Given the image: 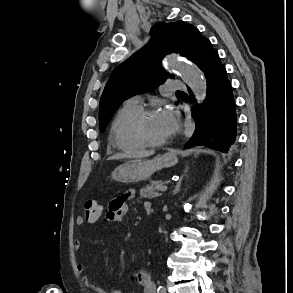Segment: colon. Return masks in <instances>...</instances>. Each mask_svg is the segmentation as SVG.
Here are the masks:
<instances>
[{
    "instance_id": "1",
    "label": "colon",
    "mask_w": 293,
    "mask_h": 293,
    "mask_svg": "<svg viewBox=\"0 0 293 293\" xmlns=\"http://www.w3.org/2000/svg\"><path fill=\"white\" fill-rule=\"evenodd\" d=\"M102 213V206L95 200H88L84 204V218L89 223H95Z\"/></svg>"
}]
</instances>
